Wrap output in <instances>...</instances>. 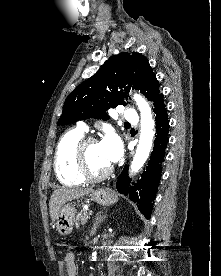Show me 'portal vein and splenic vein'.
Returning <instances> with one entry per match:
<instances>
[{
    "instance_id": "1",
    "label": "portal vein and splenic vein",
    "mask_w": 221,
    "mask_h": 276,
    "mask_svg": "<svg viewBox=\"0 0 221 276\" xmlns=\"http://www.w3.org/2000/svg\"><path fill=\"white\" fill-rule=\"evenodd\" d=\"M94 212L92 210H89V215H93Z\"/></svg>"
}]
</instances>
